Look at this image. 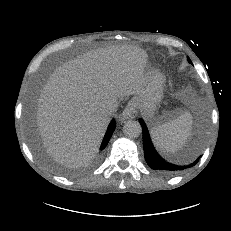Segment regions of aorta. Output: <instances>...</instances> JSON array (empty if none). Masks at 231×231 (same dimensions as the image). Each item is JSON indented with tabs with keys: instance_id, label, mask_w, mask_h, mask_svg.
Returning a JSON list of instances; mask_svg holds the SVG:
<instances>
[{
	"instance_id": "762f6f07",
	"label": "aorta",
	"mask_w": 231,
	"mask_h": 231,
	"mask_svg": "<svg viewBox=\"0 0 231 231\" xmlns=\"http://www.w3.org/2000/svg\"><path fill=\"white\" fill-rule=\"evenodd\" d=\"M123 133L128 138H136L142 133V127L138 121H128L123 126Z\"/></svg>"
}]
</instances>
